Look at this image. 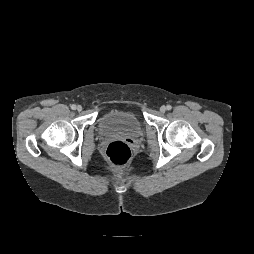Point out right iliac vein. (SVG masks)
<instances>
[{
	"label": "right iliac vein",
	"instance_id": "right-iliac-vein-1",
	"mask_svg": "<svg viewBox=\"0 0 254 254\" xmlns=\"http://www.w3.org/2000/svg\"><path fill=\"white\" fill-rule=\"evenodd\" d=\"M76 110H77V111H82V106L78 105V106L76 107Z\"/></svg>",
	"mask_w": 254,
	"mask_h": 254
}]
</instances>
